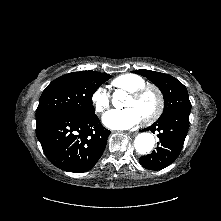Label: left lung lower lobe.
Masks as SVG:
<instances>
[{
	"label": "left lung lower lobe",
	"mask_w": 221,
	"mask_h": 221,
	"mask_svg": "<svg viewBox=\"0 0 221 221\" xmlns=\"http://www.w3.org/2000/svg\"><path fill=\"white\" fill-rule=\"evenodd\" d=\"M190 113H174L157 120L148 128L142 130L158 131L160 139L157 149L151 154L140 157L143 167L149 170H162L173 163L179 156L189 128Z\"/></svg>",
	"instance_id": "left-lung-lower-lobe-1"
}]
</instances>
